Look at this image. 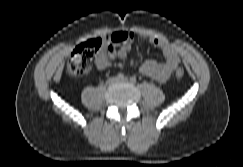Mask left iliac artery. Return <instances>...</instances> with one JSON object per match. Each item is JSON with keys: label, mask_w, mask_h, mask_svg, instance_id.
<instances>
[{"label": "left iliac artery", "mask_w": 243, "mask_h": 167, "mask_svg": "<svg viewBox=\"0 0 243 167\" xmlns=\"http://www.w3.org/2000/svg\"><path fill=\"white\" fill-rule=\"evenodd\" d=\"M130 81H131L132 83H136V78H135V77H131V78H130Z\"/></svg>", "instance_id": "1"}]
</instances>
